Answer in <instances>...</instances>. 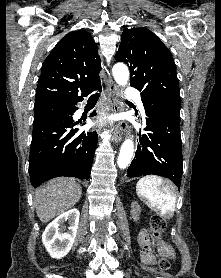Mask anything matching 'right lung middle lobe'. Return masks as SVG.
<instances>
[{"label":"right lung middle lobe","mask_w":221,"mask_h":278,"mask_svg":"<svg viewBox=\"0 0 221 278\" xmlns=\"http://www.w3.org/2000/svg\"><path fill=\"white\" fill-rule=\"evenodd\" d=\"M65 112H67L66 108L60 101H52L35 105L33 124L50 116Z\"/></svg>","instance_id":"dd1d6c3e"}]
</instances>
